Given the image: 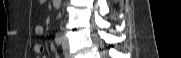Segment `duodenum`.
Wrapping results in <instances>:
<instances>
[{"mask_svg": "<svg viewBox=\"0 0 181 58\" xmlns=\"http://www.w3.org/2000/svg\"><path fill=\"white\" fill-rule=\"evenodd\" d=\"M52 2H53L54 7L56 8L60 7L61 5V0H53Z\"/></svg>", "mask_w": 181, "mask_h": 58, "instance_id": "1", "label": "duodenum"}]
</instances>
